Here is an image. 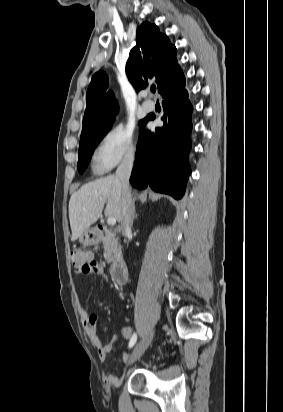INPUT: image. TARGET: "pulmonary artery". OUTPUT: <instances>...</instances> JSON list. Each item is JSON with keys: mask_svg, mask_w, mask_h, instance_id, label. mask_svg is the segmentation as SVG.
<instances>
[{"mask_svg": "<svg viewBox=\"0 0 283 412\" xmlns=\"http://www.w3.org/2000/svg\"><path fill=\"white\" fill-rule=\"evenodd\" d=\"M153 109H154V105H153V104H151V103H149V102H145V103L143 104V110H144L145 112H151Z\"/></svg>", "mask_w": 283, "mask_h": 412, "instance_id": "1", "label": "pulmonary artery"}]
</instances>
